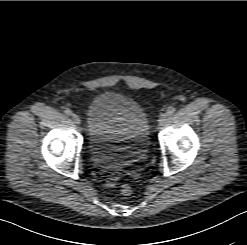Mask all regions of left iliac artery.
Here are the masks:
<instances>
[{
	"label": "left iliac artery",
	"instance_id": "1",
	"mask_svg": "<svg viewBox=\"0 0 247 245\" xmlns=\"http://www.w3.org/2000/svg\"><path fill=\"white\" fill-rule=\"evenodd\" d=\"M175 111H176V109L174 107H169L167 109L166 115L167 116L173 115L175 113Z\"/></svg>",
	"mask_w": 247,
	"mask_h": 245
}]
</instances>
